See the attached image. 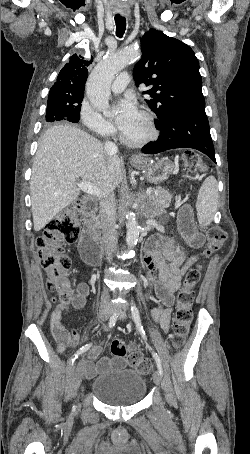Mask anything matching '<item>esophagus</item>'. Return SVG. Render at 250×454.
Wrapping results in <instances>:
<instances>
[{
    "label": "esophagus",
    "mask_w": 250,
    "mask_h": 454,
    "mask_svg": "<svg viewBox=\"0 0 250 454\" xmlns=\"http://www.w3.org/2000/svg\"><path fill=\"white\" fill-rule=\"evenodd\" d=\"M137 157L138 156L134 154V155L131 156V159H136Z\"/></svg>",
    "instance_id": "esophagus-1"
}]
</instances>
